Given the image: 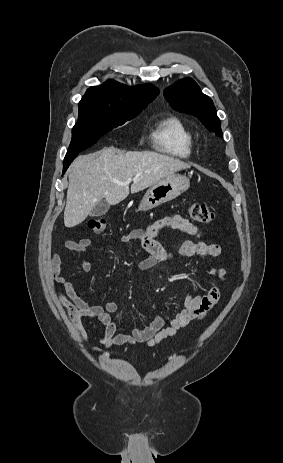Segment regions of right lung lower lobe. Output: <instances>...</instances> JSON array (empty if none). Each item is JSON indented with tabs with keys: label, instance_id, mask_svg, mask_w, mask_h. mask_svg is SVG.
<instances>
[{
	"label": "right lung lower lobe",
	"instance_id": "right-lung-lower-lobe-1",
	"mask_svg": "<svg viewBox=\"0 0 283 463\" xmlns=\"http://www.w3.org/2000/svg\"><path fill=\"white\" fill-rule=\"evenodd\" d=\"M78 153L77 154H74V155H70V156H66L64 158V162H63V173L67 170V168L69 167V165L71 164V162L77 157Z\"/></svg>",
	"mask_w": 283,
	"mask_h": 463
}]
</instances>
